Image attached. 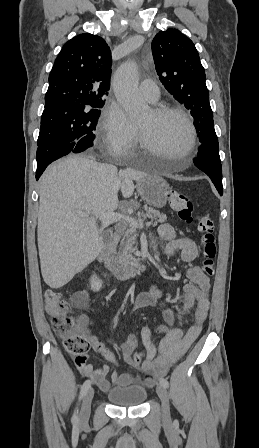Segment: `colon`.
<instances>
[{
	"label": "colon",
	"mask_w": 259,
	"mask_h": 448,
	"mask_svg": "<svg viewBox=\"0 0 259 448\" xmlns=\"http://www.w3.org/2000/svg\"><path fill=\"white\" fill-rule=\"evenodd\" d=\"M168 202L181 220L193 224L202 234L204 255L202 269L207 275H213L216 252L214 222L206 214H196L190 199L180 191H169ZM45 308L54 331L63 339L66 351L74 356H85L90 348V342L84 332L85 319L76 320L71 314L69 302L56 291H46ZM145 358L146 354L138 351L134 353L132 360L135 363H141Z\"/></svg>",
	"instance_id": "colon-1"
}]
</instances>
